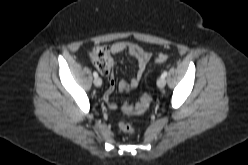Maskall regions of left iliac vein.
<instances>
[{
    "mask_svg": "<svg viewBox=\"0 0 248 165\" xmlns=\"http://www.w3.org/2000/svg\"><path fill=\"white\" fill-rule=\"evenodd\" d=\"M165 85H166V80H165V78L160 77V78L157 80V86H158L159 88H164Z\"/></svg>",
    "mask_w": 248,
    "mask_h": 165,
    "instance_id": "obj_1",
    "label": "left iliac vein"
}]
</instances>
